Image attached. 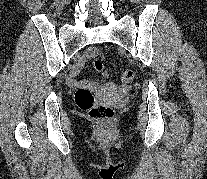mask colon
<instances>
[{
  "instance_id": "1",
  "label": "colon",
  "mask_w": 207,
  "mask_h": 179,
  "mask_svg": "<svg viewBox=\"0 0 207 179\" xmlns=\"http://www.w3.org/2000/svg\"><path fill=\"white\" fill-rule=\"evenodd\" d=\"M94 67L100 71L103 69V64L101 61L96 60ZM133 77L132 71L124 72L122 75L123 84H131ZM75 102L77 107L82 111L88 112L90 118L94 121L103 125H110L112 123L115 115L114 110L110 106L97 101L90 89L85 87L78 88L75 93Z\"/></svg>"
}]
</instances>
